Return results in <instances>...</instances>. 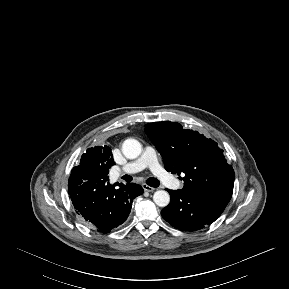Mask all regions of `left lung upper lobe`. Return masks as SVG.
Instances as JSON below:
<instances>
[{
    "instance_id": "1",
    "label": "left lung upper lobe",
    "mask_w": 289,
    "mask_h": 289,
    "mask_svg": "<svg viewBox=\"0 0 289 289\" xmlns=\"http://www.w3.org/2000/svg\"><path fill=\"white\" fill-rule=\"evenodd\" d=\"M145 132L162 155L165 169L185 174L183 191L227 206L235 175L216 142L197 131L183 129L177 122L148 123Z\"/></svg>"
}]
</instances>
